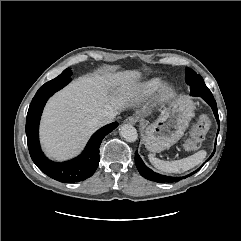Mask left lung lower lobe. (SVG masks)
Wrapping results in <instances>:
<instances>
[{
    "label": "left lung lower lobe",
    "mask_w": 241,
    "mask_h": 241,
    "mask_svg": "<svg viewBox=\"0 0 241 241\" xmlns=\"http://www.w3.org/2000/svg\"><path fill=\"white\" fill-rule=\"evenodd\" d=\"M186 82H187L188 85H190V89H191V93L190 94L192 96L202 97L211 106V108H212V110L214 112V115L216 117V120H217V122L219 124V116H218V111H217V105H216V101H215L212 93H209V92L205 93V92H202L201 90H198V89H197V91H195L196 88L194 86H192L193 82H191L187 78H186ZM218 132H219V129H218ZM218 132H217V134H218ZM215 144H216V142H215ZM214 153H215V150L213 151L211 156L208 158V160L212 158ZM135 164H136V166L138 168V171L140 172V174L144 178L149 179L151 181H156V182H159V183H161V182H166V183L177 182V181H180L181 179H185L186 177L191 176L193 173L197 172V170H196L193 173L189 174L188 176H184V177H170V176L160 175L158 173L153 172L151 169H149L144 164V162L142 161V159L140 158V156L138 155L137 152L135 153ZM204 164L205 163H203V165ZM200 168L198 170H200Z\"/></svg>",
    "instance_id": "1"
}]
</instances>
